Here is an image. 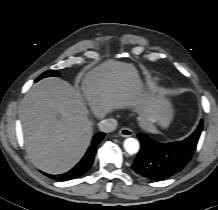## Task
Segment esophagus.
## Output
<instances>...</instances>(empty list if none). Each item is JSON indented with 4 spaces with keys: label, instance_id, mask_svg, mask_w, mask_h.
<instances>
[{
    "label": "esophagus",
    "instance_id": "34e87169",
    "mask_svg": "<svg viewBox=\"0 0 218 210\" xmlns=\"http://www.w3.org/2000/svg\"><path fill=\"white\" fill-rule=\"evenodd\" d=\"M119 135L121 137H130L134 135V132L130 128H121L119 130Z\"/></svg>",
    "mask_w": 218,
    "mask_h": 210
}]
</instances>
